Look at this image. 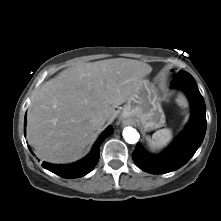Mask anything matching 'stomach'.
I'll return each instance as SVG.
<instances>
[{
    "mask_svg": "<svg viewBox=\"0 0 221 221\" xmlns=\"http://www.w3.org/2000/svg\"><path fill=\"white\" fill-rule=\"evenodd\" d=\"M122 117L140 123L145 130L157 129L164 125L165 115L160 98L148 81H145L127 101L122 111Z\"/></svg>",
    "mask_w": 221,
    "mask_h": 221,
    "instance_id": "1",
    "label": "stomach"
}]
</instances>
